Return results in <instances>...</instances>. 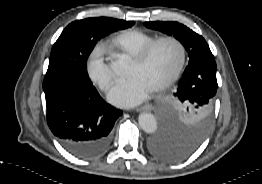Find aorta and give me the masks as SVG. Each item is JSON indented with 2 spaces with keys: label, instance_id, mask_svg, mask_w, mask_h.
Segmentation results:
<instances>
[{
  "label": "aorta",
  "instance_id": "762f6f07",
  "mask_svg": "<svg viewBox=\"0 0 262 184\" xmlns=\"http://www.w3.org/2000/svg\"><path fill=\"white\" fill-rule=\"evenodd\" d=\"M141 129L149 134L154 133L157 130V121L153 114L148 112H142L138 118Z\"/></svg>",
  "mask_w": 262,
  "mask_h": 184
}]
</instances>
